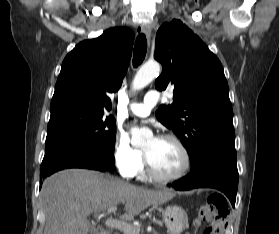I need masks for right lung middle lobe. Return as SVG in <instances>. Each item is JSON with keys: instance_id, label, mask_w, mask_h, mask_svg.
Returning a JSON list of instances; mask_svg holds the SVG:
<instances>
[{"instance_id": "right-lung-middle-lobe-1", "label": "right lung middle lobe", "mask_w": 279, "mask_h": 234, "mask_svg": "<svg viewBox=\"0 0 279 234\" xmlns=\"http://www.w3.org/2000/svg\"><path fill=\"white\" fill-rule=\"evenodd\" d=\"M116 122L103 111L68 108L51 111L45 154L65 146L83 148L115 167Z\"/></svg>"}]
</instances>
